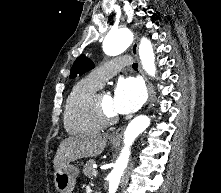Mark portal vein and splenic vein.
Masks as SVG:
<instances>
[{"label":"portal vein and splenic vein","mask_w":221,"mask_h":193,"mask_svg":"<svg viewBox=\"0 0 221 193\" xmlns=\"http://www.w3.org/2000/svg\"><path fill=\"white\" fill-rule=\"evenodd\" d=\"M92 174H93V176H97L98 171L94 169L93 172H92Z\"/></svg>","instance_id":"1"}]
</instances>
